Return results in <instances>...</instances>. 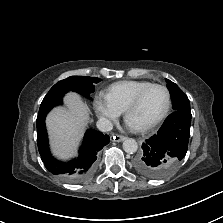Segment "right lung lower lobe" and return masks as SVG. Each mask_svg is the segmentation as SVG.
Returning <instances> with one entry per match:
<instances>
[{
    "label": "right lung lower lobe",
    "instance_id": "98d812e1",
    "mask_svg": "<svg viewBox=\"0 0 223 223\" xmlns=\"http://www.w3.org/2000/svg\"><path fill=\"white\" fill-rule=\"evenodd\" d=\"M61 103L62 98H59L40 106L36 120L38 149L42 161L51 173L66 182L77 183L85 180L92 174L95 168L97 154L109 143L110 138L108 135H103L99 131L89 129L84 136L78 158L68 163L56 160L49 150L45 117L54 106Z\"/></svg>",
    "mask_w": 223,
    "mask_h": 223
}]
</instances>
